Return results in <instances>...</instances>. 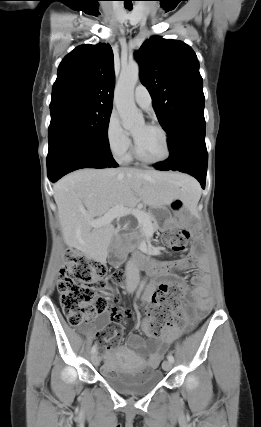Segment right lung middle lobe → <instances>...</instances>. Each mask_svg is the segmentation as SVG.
Returning a JSON list of instances; mask_svg holds the SVG:
<instances>
[{
    "instance_id": "right-lung-middle-lobe-1",
    "label": "right lung middle lobe",
    "mask_w": 261,
    "mask_h": 427,
    "mask_svg": "<svg viewBox=\"0 0 261 427\" xmlns=\"http://www.w3.org/2000/svg\"><path fill=\"white\" fill-rule=\"evenodd\" d=\"M111 107L65 105L50 109L49 149L61 144L109 150Z\"/></svg>"
}]
</instances>
